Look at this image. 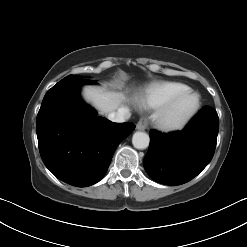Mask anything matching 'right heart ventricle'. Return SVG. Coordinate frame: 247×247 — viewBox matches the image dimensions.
Wrapping results in <instances>:
<instances>
[{
    "label": "right heart ventricle",
    "mask_w": 247,
    "mask_h": 247,
    "mask_svg": "<svg viewBox=\"0 0 247 247\" xmlns=\"http://www.w3.org/2000/svg\"><path fill=\"white\" fill-rule=\"evenodd\" d=\"M189 87L179 82L156 81L146 89L142 105L148 109H157L178 93L188 90Z\"/></svg>",
    "instance_id": "e07e8e85"
}]
</instances>
